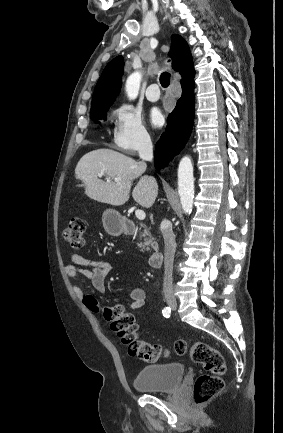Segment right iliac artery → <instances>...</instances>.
I'll use <instances>...</instances> for the list:
<instances>
[{
    "instance_id": "right-iliac-artery-1",
    "label": "right iliac artery",
    "mask_w": 283,
    "mask_h": 433,
    "mask_svg": "<svg viewBox=\"0 0 283 433\" xmlns=\"http://www.w3.org/2000/svg\"><path fill=\"white\" fill-rule=\"evenodd\" d=\"M162 314H163L164 317L169 318L170 314H171V308L170 307H165L162 310Z\"/></svg>"
}]
</instances>
